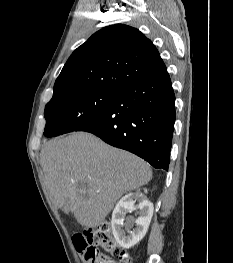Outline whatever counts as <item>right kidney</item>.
Instances as JSON below:
<instances>
[{"label": "right kidney", "instance_id": "ca27d5eb", "mask_svg": "<svg viewBox=\"0 0 233 263\" xmlns=\"http://www.w3.org/2000/svg\"><path fill=\"white\" fill-rule=\"evenodd\" d=\"M144 193H147V189H144ZM136 201H138V205H135ZM134 210H138L139 217L136 220L129 218L126 228L123 229L125 214ZM153 210L152 202L140 190L129 193L120 199L113 210L111 225L113 235L121 247L129 249L143 239L151 222ZM134 222L136 227L131 231L130 228Z\"/></svg>", "mask_w": 233, "mask_h": 263}]
</instances>
